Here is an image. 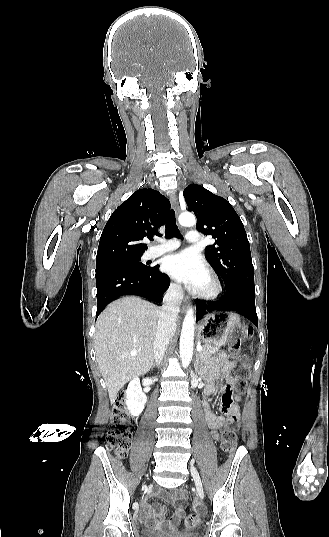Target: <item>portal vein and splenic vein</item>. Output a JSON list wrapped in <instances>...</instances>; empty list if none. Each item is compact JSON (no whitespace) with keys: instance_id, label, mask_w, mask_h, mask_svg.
Wrapping results in <instances>:
<instances>
[{"instance_id":"portal-vein-and-splenic-vein-1","label":"portal vein and splenic vein","mask_w":329,"mask_h":537,"mask_svg":"<svg viewBox=\"0 0 329 537\" xmlns=\"http://www.w3.org/2000/svg\"><path fill=\"white\" fill-rule=\"evenodd\" d=\"M202 349H203V348L200 347V346L197 347V350H198V351H202ZM131 355H132V356H135V355H136V352H132Z\"/></svg>"}]
</instances>
